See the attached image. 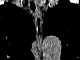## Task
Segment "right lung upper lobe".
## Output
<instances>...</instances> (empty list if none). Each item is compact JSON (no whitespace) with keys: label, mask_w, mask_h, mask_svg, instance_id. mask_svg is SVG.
I'll return each mask as SVG.
<instances>
[{"label":"right lung upper lobe","mask_w":80,"mask_h":60,"mask_svg":"<svg viewBox=\"0 0 80 60\" xmlns=\"http://www.w3.org/2000/svg\"><path fill=\"white\" fill-rule=\"evenodd\" d=\"M0 46L12 55H31L36 38L30 16L21 8L6 3L0 7Z\"/></svg>","instance_id":"1"}]
</instances>
